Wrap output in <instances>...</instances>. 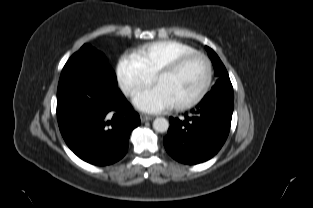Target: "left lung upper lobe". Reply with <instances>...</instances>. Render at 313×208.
Segmentation results:
<instances>
[{
    "instance_id": "5c2ea615",
    "label": "left lung upper lobe",
    "mask_w": 313,
    "mask_h": 208,
    "mask_svg": "<svg viewBox=\"0 0 313 208\" xmlns=\"http://www.w3.org/2000/svg\"><path fill=\"white\" fill-rule=\"evenodd\" d=\"M208 55L214 66V74L217 76L218 80L212 87L211 91L219 89H233L227 70L217 54L209 47H206Z\"/></svg>"
}]
</instances>
